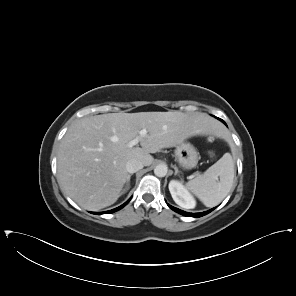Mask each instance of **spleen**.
I'll list each match as a JSON object with an SVG mask.
<instances>
[{
  "label": "spleen",
  "instance_id": "obj_1",
  "mask_svg": "<svg viewBox=\"0 0 296 296\" xmlns=\"http://www.w3.org/2000/svg\"><path fill=\"white\" fill-rule=\"evenodd\" d=\"M233 179L234 161L230 153H225L204 174L190 180L186 185L205 206L213 207L228 195Z\"/></svg>",
  "mask_w": 296,
  "mask_h": 296
}]
</instances>
